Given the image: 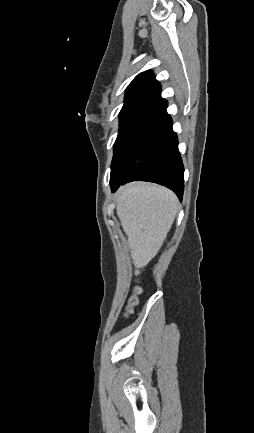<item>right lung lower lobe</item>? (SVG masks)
Listing matches in <instances>:
<instances>
[{
    "mask_svg": "<svg viewBox=\"0 0 254 433\" xmlns=\"http://www.w3.org/2000/svg\"><path fill=\"white\" fill-rule=\"evenodd\" d=\"M166 108L159 93L125 125L111 164L112 192L127 182L142 180L168 187L182 201L184 167Z\"/></svg>",
    "mask_w": 254,
    "mask_h": 433,
    "instance_id": "right-lung-lower-lobe-1",
    "label": "right lung lower lobe"
}]
</instances>
